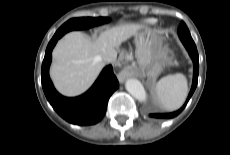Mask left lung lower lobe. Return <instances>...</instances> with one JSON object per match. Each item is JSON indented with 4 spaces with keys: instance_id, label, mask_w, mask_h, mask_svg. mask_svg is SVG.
Listing matches in <instances>:
<instances>
[{
    "instance_id": "obj_1",
    "label": "left lung lower lobe",
    "mask_w": 230,
    "mask_h": 155,
    "mask_svg": "<svg viewBox=\"0 0 230 155\" xmlns=\"http://www.w3.org/2000/svg\"><path fill=\"white\" fill-rule=\"evenodd\" d=\"M182 43L185 46V48L187 49V51H188V53H189V55L193 61V64H194L193 83H192V87H191L190 93L188 95V98H187L185 104L179 110H177L173 113H151V114H149V117H151V118L169 119V118H173V117L179 115L183 111L185 106L187 105L189 99L191 98L192 94L194 93V91L196 89L197 82H198V71H199V56H198L197 48H196L194 41L184 40Z\"/></svg>"
}]
</instances>
